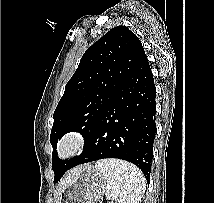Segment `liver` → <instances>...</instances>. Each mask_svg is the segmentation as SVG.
<instances>
[{"mask_svg":"<svg viewBox=\"0 0 214 203\" xmlns=\"http://www.w3.org/2000/svg\"><path fill=\"white\" fill-rule=\"evenodd\" d=\"M82 166H79V167H76L72 170H70L60 181V184H59V191L61 192V190L63 188H65L67 185H69L74 177L76 176V174L78 173V171L81 169Z\"/></svg>","mask_w":214,"mask_h":203,"instance_id":"6515ba94","label":"liver"}]
</instances>
